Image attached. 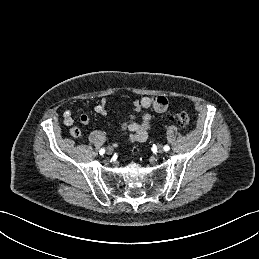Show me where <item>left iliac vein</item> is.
Wrapping results in <instances>:
<instances>
[{
    "label": "left iliac vein",
    "instance_id": "obj_1",
    "mask_svg": "<svg viewBox=\"0 0 259 259\" xmlns=\"http://www.w3.org/2000/svg\"><path fill=\"white\" fill-rule=\"evenodd\" d=\"M164 152V147L162 145L158 146V153L162 154Z\"/></svg>",
    "mask_w": 259,
    "mask_h": 259
}]
</instances>
